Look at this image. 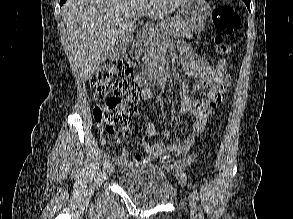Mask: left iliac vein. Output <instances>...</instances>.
Segmentation results:
<instances>
[{"label":"left iliac vein","instance_id":"4c4485c4","mask_svg":"<svg viewBox=\"0 0 293 219\" xmlns=\"http://www.w3.org/2000/svg\"><path fill=\"white\" fill-rule=\"evenodd\" d=\"M188 202L190 205L191 218L198 219L196 202L191 194L188 196Z\"/></svg>","mask_w":293,"mask_h":219}]
</instances>
